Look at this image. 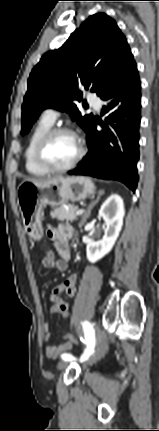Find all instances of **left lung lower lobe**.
Instances as JSON below:
<instances>
[{
    "label": "left lung lower lobe",
    "mask_w": 159,
    "mask_h": 431,
    "mask_svg": "<svg viewBox=\"0 0 159 431\" xmlns=\"http://www.w3.org/2000/svg\"><path fill=\"white\" fill-rule=\"evenodd\" d=\"M135 61L100 97L106 102L105 123L93 121L87 129L88 153L70 175H88L123 182L135 191L138 182L141 93Z\"/></svg>",
    "instance_id": "1"
}]
</instances>
